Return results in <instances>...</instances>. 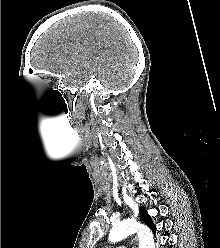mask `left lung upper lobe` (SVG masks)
<instances>
[{"mask_svg": "<svg viewBox=\"0 0 220 248\" xmlns=\"http://www.w3.org/2000/svg\"><path fill=\"white\" fill-rule=\"evenodd\" d=\"M140 218L153 232L156 231L155 225L153 224L150 215L147 213L144 207L140 208Z\"/></svg>", "mask_w": 220, "mask_h": 248, "instance_id": "1", "label": "left lung upper lobe"}]
</instances>
